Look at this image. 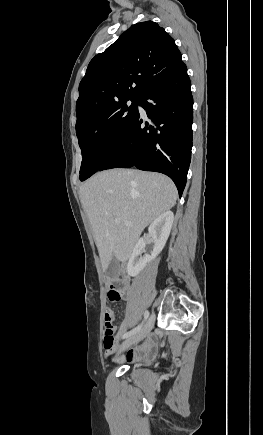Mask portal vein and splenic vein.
I'll return each instance as SVG.
<instances>
[{"label": "portal vein and splenic vein", "instance_id": "1", "mask_svg": "<svg viewBox=\"0 0 263 435\" xmlns=\"http://www.w3.org/2000/svg\"><path fill=\"white\" fill-rule=\"evenodd\" d=\"M115 223H116V224H119V223H120V220H119V219H115ZM125 224H126V225H131V223L128 222V221H126Z\"/></svg>", "mask_w": 263, "mask_h": 435}]
</instances>
